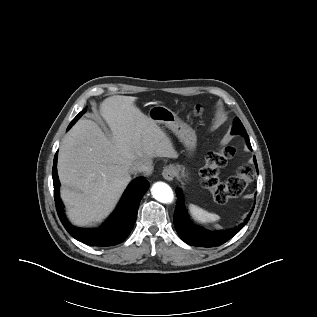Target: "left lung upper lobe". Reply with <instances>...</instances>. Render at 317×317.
<instances>
[{"instance_id":"1","label":"left lung upper lobe","mask_w":317,"mask_h":317,"mask_svg":"<svg viewBox=\"0 0 317 317\" xmlns=\"http://www.w3.org/2000/svg\"><path fill=\"white\" fill-rule=\"evenodd\" d=\"M232 134H241L245 137L246 141H249L248 134L246 133V130H245L244 126L242 125L241 121L237 117L234 120Z\"/></svg>"}]
</instances>
